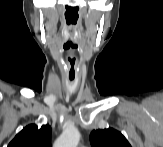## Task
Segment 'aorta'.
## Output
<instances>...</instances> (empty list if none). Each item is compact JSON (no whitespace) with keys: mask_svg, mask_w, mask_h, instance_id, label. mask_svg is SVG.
I'll return each mask as SVG.
<instances>
[{"mask_svg":"<svg viewBox=\"0 0 163 147\" xmlns=\"http://www.w3.org/2000/svg\"><path fill=\"white\" fill-rule=\"evenodd\" d=\"M80 141V133L74 128H66L54 143L55 147H77Z\"/></svg>","mask_w":163,"mask_h":147,"instance_id":"aorta-1","label":"aorta"}]
</instances>
